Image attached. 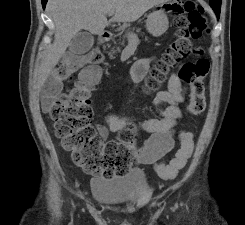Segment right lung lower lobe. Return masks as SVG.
Segmentation results:
<instances>
[{"label":"right lung lower lobe","instance_id":"98d812e1","mask_svg":"<svg viewBox=\"0 0 245 225\" xmlns=\"http://www.w3.org/2000/svg\"><path fill=\"white\" fill-rule=\"evenodd\" d=\"M48 0H42V5H43V8H45V5H46V2H47Z\"/></svg>","mask_w":245,"mask_h":225}]
</instances>
